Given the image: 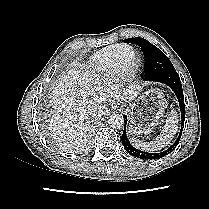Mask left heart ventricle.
I'll return each instance as SVG.
<instances>
[{
	"label": "left heart ventricle",
	"instance_id": "b2bd125f",
	"mask_svg": "<svg viewBox=\"0 0 209 209\" xmlns=\"http://www.w3.org/2000/svg\"><path fill=\"white\" fill-rule=\"evenodd\" d=\"M134 57V52L132 50H125L120 57V62L122 66L129 65Z\"/></svg>",
	"mask_w": 209,
	"mask_h": 209
}]
</instances>
